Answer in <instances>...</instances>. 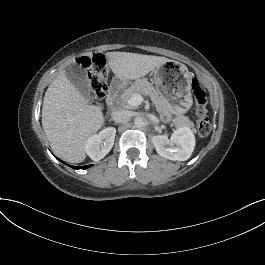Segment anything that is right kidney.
I'll return each instance as SVG.
<instances>
[{
    "label": "right kidney",
    "mask_w": 265,
    "mask_h": 265,
    "mask_svg": "<svg viewBox=\"0 0 265 265\" xmlns=\"http://www.w3.org/2000/svg\"><path fill=\"white\" fill-rule=\"evenodd\" d=\"M115 135V128H106L98 135L92 136L86 144V152L94 161H100L112 149Z\"/></svg>",
    "instance_id": "right-kidney-1"
}]
</instances>
